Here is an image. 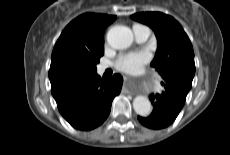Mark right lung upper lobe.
Masks as SVG:
<instances>
[{
    "mask_svg": "<svg viewBox=\"0 0 230 155\" xmlns=\"http://www.w3.org/2000/svg\"><path fill=\"white\" fill-rule=\"evenodd\" d=\"M113 15L85 13L71 21L58 38L51 56L50 80L58 64L67 59H90L104 54V31Z\"/></svg>",
    "mask_w": 230,
    "mask_h": 155,
    "instance_id": "obj_1",
    "label": "right lung upper lobe"
}]
</instances>
